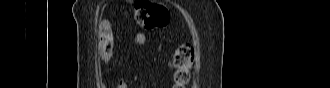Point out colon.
I'll return each instance as SVG.
<instances>
[{
    "label": "colon",
    "instance_id": "colon-1",
    "mask_svg": "<svg viewBox=\"0 0 330 88\" xmlns=\"http://www.w3.org/2000/svg\"><path fill=\"white\" fill-rule=\"evenodd\" d=\"M136 23L145 29L164 27L168 22V15L164 8L147 0H136L132 4ZM113 50V39L110 27L103 31L100 51L108 58ZM169 65L173 70L175 88H185L191 79L194 67V50L190 45H180L173 52Z\"/></svg>",
    "mask_w": 330,
    "mask_h": 88
}]
</instances>
